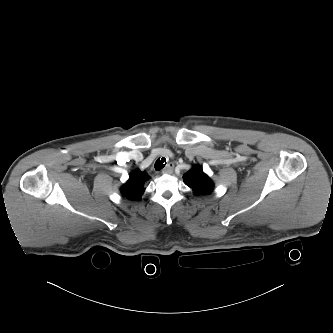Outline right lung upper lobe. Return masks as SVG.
Instances as JSON below:
<instances>
[{
  "instance_id": "right-lung-upper-lobe-1",
  "label": "right lung upper lobe",
  "mask_w": 333,
  "mask_h": 333,
  "mask_svg": "<svg viewBox=\"0 0 333 333\" xmlns=\"http://www.w3.org/2000/svg\"><path fill=\"white\" fill-rule=\"evenodd\" d=\"M149 179L145 171L139 169L130 173L128 181L120 188L123 197L129 200H140L144 193V183Z\"/></svg>"
}]
</instances>
